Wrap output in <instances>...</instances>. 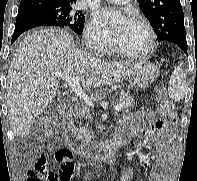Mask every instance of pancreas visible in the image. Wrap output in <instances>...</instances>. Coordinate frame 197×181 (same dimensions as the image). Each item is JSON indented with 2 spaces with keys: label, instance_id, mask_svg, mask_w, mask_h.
Wrapping results in <instances>:
<instances>
[{
  "label": "pancreas",
  "instance_id": "obj_1",
  "mask_svg": "<svg viewBox=\"0 0 197 181\" xmlns=\"http://www.w3.org/2000/svg\"><path fill=\"white\" fill-rule=\"evenodd\" d=\"M118 104H121L124 108H129L135 105V100L130 95L126 93H121ZM73 131L77 134L79 139H91V131L88 128V125L86 127H83L81 130L73 127Z\"/></svg>",
  "mask_w": 197,
  "mask_h": 181
}]
</instances>
